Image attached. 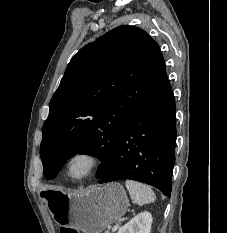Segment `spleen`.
I'll list each match as a JSON object with an SVG mask.
<instances>
[{"label": "spleen", "instance_id": "1", "mask_svg": "<svg viewBox=\"0 0 227 233\" xmlns=\"http://www.w3.org/2000/svg\"><path fill=\"white\" fill-rule=\"evenodd\" d=\"M125 185L131 199L139 206L152 203L156 200L153 190L148 185L134 180H126Z\"/></svg>", "mask_w": 227, "mask_h": 233}]
</instances>
